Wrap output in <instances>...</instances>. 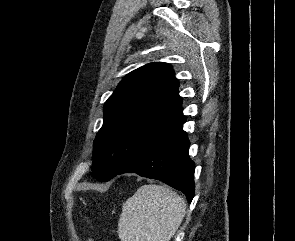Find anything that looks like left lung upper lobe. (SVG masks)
Returning <instances> with one entry per match:
<instances>
[{
  "label": "left lung upper lobe",
  "instance_id": "1",
  "mask_svg": "<svg viewBox=\"0 0 295 241\" xmlns=\"http://www.w3.org/2000/svg\"><path fill=\"white\" fill-rule=\"evenodd\" d=\"M178 81L167 63L146 64L127 74L104 105L94 141L92 170L107 181L151 142L185 121Z\"/></svg>",
  "mask_w": 295,
  "mask_h": 241
}]
</instances>
